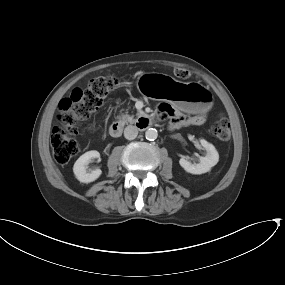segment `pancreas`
Segmentation results:
<instances>
[{
  "instance_id": "pancreas-1",
  "label": "pancreas",
  "mask_w": 285,
  "mask_h": 285,
  "mask_svg": "<svg viewBox=\"0 0 285 285\" xmlns=\"http://www.w3.org/2000/svg\"><path fill=\"white\" fill-rule=\"evenodd\" d=\"M118 119L122 124H133L137 122V119H135L133 115H129L127 110L125 113H121V115L118 116Z\"/></svg>"
}]
</instances>
